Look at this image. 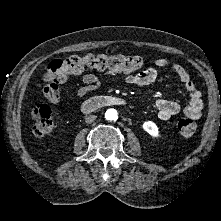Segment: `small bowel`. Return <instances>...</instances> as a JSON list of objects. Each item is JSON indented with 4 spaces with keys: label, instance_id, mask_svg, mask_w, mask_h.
I'll list each match as a JSON object with an SVG mask.
<instances>
[{
    "label": "small bowel",
    "instance_id": "small-bowel-1",
    "mask_svg": "<svg viewBox=\"0 0 221 221\" xmlns=\"http://www.w3.org/2000/svg\"><path fill=\"white\" fill-rule=\"evenodd\" d=\"M155 67H149L145 70L127 73L122 78L126 84L136 86H146L153 83L158 77V69L169 67L176 77L182 82L184 91L189 97V103L183 108V114L187 117L198 119L203 110V101L200 91L196 88L186 69L177 63L170 64L166 58H157L154 62ZM113 75L112 72H106L103 76L94 73H83L81 78L83 86L76 90L77 97H84L88 92L98 89L104 80ZM53 104L60 101V96L52 99L46 97ZM156 115L161 120H168L173 115L180 112L181 108L177 102L159 99L155 104Z\"/></svg>",
    "mask_w": 221,
    "mask_h": 221
}]
</instances>
